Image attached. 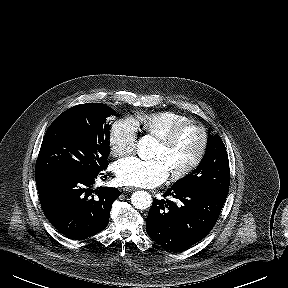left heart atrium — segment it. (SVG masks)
Listing matches in <instances>:
<instances>
[{"instance_id":"left-heart-atrium-1","label":"left heart atrium","mask_w":288,"mask_h":288,"mask_svg":"<svg viewBox=\"0 0 288 288\" xmlns=\"http://www.w3.org/2000/svg\"><path fill=\"white\" fill-rule=\"evenodd\" d=\"M115 173L122 185L149 188L166 181L170 171L161 157L143 160L132 156L118 161Z\"/></svg>"}]
</instances>
